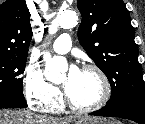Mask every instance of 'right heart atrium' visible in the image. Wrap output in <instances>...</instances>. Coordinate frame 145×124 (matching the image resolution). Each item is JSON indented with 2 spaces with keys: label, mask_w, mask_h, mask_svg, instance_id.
I'll use <instances>...</instances> for the list:
<instances>
[{
  "label": "right heart atrium",
  "mask_w": 145,
  "mask_h": 124,
  "mask_svg": "<svg viewBox=\"0 0 145 124\" xmlns=\"http://www.w3.org/2000/svg\"><path fill=\"white\" fill-rule=\"evenodd\" d=\"M24 93L27 100L43 112H55L60 109L61 93L49 83L40 69L28 66L23 77Z\"/></svg>",
  "instance_id": "1"
}]
</instances>
